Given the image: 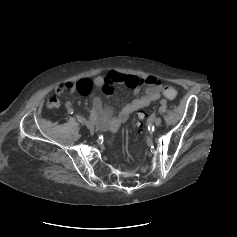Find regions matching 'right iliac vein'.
I'll return each instance as SVG.
<instances>
[{
    "label": "right iliac vein",
    "instance_id": "1",
    "mask_svg": "<svg viewBox=\"0 0 237 237\" xmlns=\"http://www.w3.org/2000/svg\"><path fill=\"white\" fill-rule=\"evenodd\" d=\"M86 126H87V128H88L90 131H93V130H94V123H93V122L87 121V122H86Z\"/></svg>",
    "mask_w": 237,
    "mask_h": 237
}]
</instances>
